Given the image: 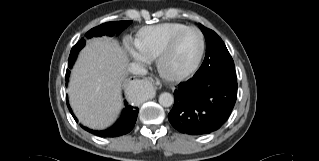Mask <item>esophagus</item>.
<instances>
[{"label":"esophagus","mask_w":319,"mask_h":161,"mask_svg":"<svg viewBox=\"0 0 319 161\" xmlns=\"http://www.w3.org/2000/svg\"><path fill=\"white\" fill-rule=\"evenodd\" d=\"M141 79H142V80H147V78H146V77H141Z\"/></svg>","instance_id":"1"}]
</instances>
